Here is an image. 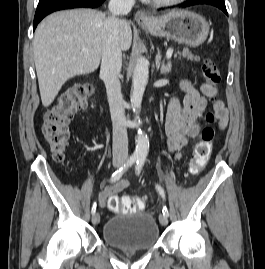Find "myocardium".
Masks as SVG:
<instances>
[{
	"instance_id": "1",
	"label": "myocardium",
	"mask_w": 265,
	"mask_h": 269,
	"mask_svg": "<svg viewBox=\"0 0 265 269\" xmlns=\"http://www.w3.org/2000/svg\"><path fill=\"white\" fill-rule=\"evenodd\" d=\"M149 1L155 6L164 7V6L175 5L185 0H149Z\"/></svg>"
}]
</instances>
